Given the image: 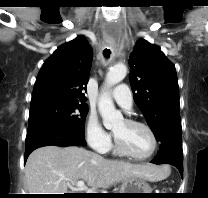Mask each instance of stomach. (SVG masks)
Instances as JSON below:
<instances>
[{"label":"stomach","mask_w":208,"mask_h":198,"mask_svg":"<svg viewBox=\"0 0 208 198\" xmlns=\"http://www.w3.org/2000/svg\"><path fill=\"white\" fill-rule=\"evenodd\" d=\"M150 185L145 179L132 177L122 183L119 193L128 198H145L146 194H128V193H152Z\"/></svg>","instance_id":"0dacf381"}]
</instances>
